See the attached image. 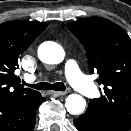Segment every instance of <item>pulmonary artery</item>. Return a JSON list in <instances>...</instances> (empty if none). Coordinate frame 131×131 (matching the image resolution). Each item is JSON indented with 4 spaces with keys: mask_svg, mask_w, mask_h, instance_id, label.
I'll return each instance as SVG.
<instances>
[{
    "mask_svg": "<svg viewBox=\"0 0 131 131\" xmlns=\"http://www.w3.org/2000/svg\"><path fill=\"white\" fill-rule=\"evenodd\" d=\"M65 74L71 85L80 93L88 97L95 94V85L86 77V75L83 74L75 60L70 59L66 62ZM33 79L34 77L31 78V80Z\"/></svg>",
    "mask_w": 131,
    "mask_h": 131,
    "instance_id": "obj_1",
    "label": "pulmonary artery"
}]
</instances>
